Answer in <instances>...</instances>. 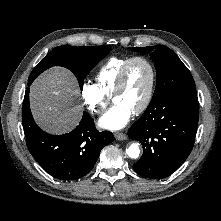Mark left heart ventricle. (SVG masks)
<instances>
[{"mask_svg":"<svg viewBox=\"0 0 221 221\" xmlns=\"http://www.w3.org/2000/svg\"><path fill=\"white\" fill-rule=\"evenodd\" d=\"M150 84V71L140 61L131 64L123 91L115 97L114 103L123 104L134 112L146 97Z\"/></svg>","mask_w":221,"mask_h":221,"instance_id":"1","label":"left heart ventricle"}]
</instances>
